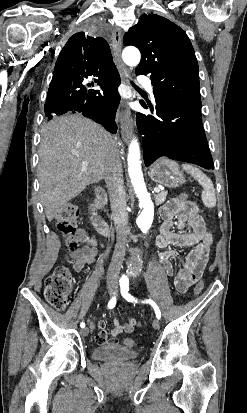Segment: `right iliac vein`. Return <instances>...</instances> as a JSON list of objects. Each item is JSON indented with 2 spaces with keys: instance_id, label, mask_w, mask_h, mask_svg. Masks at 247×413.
<instances>
[{
  "instance_id": "obj_1",
  "label": "right iliac vein",
  "mask_w": 247,
  "mask_h": 413,
  "mask_svg": "<svg viewBox=\"0 0 247 413\" xmlns=\"http://www.w3.org/2000/svg\"><path fill=\"white\" fill-rule=\"evenodd\" d=\"M108 292H109V294L112 296L113 294H114V292H115V287L114 286H110V287H108ZM89 334V328H83L82 330H81V335L83 336V337H86L87 335Z\"/></svg>"
}]
</instances>
